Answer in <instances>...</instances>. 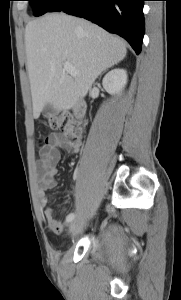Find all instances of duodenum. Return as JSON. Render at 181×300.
<instances>
[{"instance_id":"410a0bca","label":"duodenum","mask_w":181,"mask_h":300,"mask_svg":"<svg viewBox=\"0 0 181 300\" xmlns=\"http://www.w3.org/2000/svg\"><path fill=\"white\" fill-rule=\"evenodd\" d=\"M85 110V105L82 101H77L73 106V113L77 118H82L85 114Z\"/></svg>"}]
</instances>
